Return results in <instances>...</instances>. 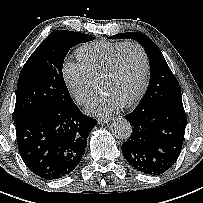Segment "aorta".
Segmentation results:
<instances>
[{
	"mask_svg": "<svg viewBox=\"0 0 203 203\" xmlns=\"http://www.w3.org/2000/svg\"><path fill=\"white\" fill-rule=\"evenodd\" d=\"M113 135L121 140H127L132 134V126L130 122L124 118H118L111 124Z\"/></svg>",
	"mask_w": 203,
	"mask_h": 203,
	"instance_id": "obj_1",
	"label": "aorta"
}]
</instances>
